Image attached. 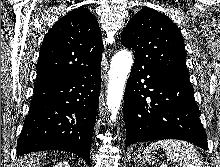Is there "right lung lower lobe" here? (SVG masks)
Masks as SVG:
<instances>
[{"label":"right lung lower lobe","instance_id":"obj_1","mask_svg":"<svg viewBox=\"0 0 220 167\" xmlns=\"http://www.w3.org/2000/svg\"><path fill=\"white\" fill-rule=\"evenodd\" d=\"M101 87V64L68 79L35 87L17 141V156L59 150L90 161Z\"/></svg>","mask_w":220,"mask_h":167}]
</instances>
